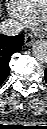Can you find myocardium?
I'll return each mask as SVG.
<instances>
[{
	"mask_svg": "<svg viewBox=\"0 0 47 129\" xmlns=\"http://www.w3.org/2000/svg\"><path fill=\"white\" fill-rule=\"evenodd\" d=\"M46 3H47V1H46ZM46 3H45V5H44L42 11L39 13V15H38V17H37L38 20H41L42 17H43V15H44V13H45V10H46Z\"/></svg>",
	"mask_w": 47,
	"mask_h": 129,
	"instance_id": "f54148a6",
	"label": "myocardium"
}]
</instances>
